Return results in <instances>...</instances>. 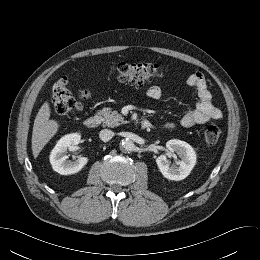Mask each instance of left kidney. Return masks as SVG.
<instances>
[{
    "instance_id": "obj_1",
    "label": "left kidney",
    "mask_w": 260,
    "mask_h": 260,
    "mask_svg": "<svg viewBox=\"0 0 260 260\" xmlns=\"http://www.w3.org/2000/svg\"><path fill=\"white\" fill-rule=\"evenodd\" d=\"M166 148L168 153L156 159L160 172L169 180L180 181L185 179L195 166V151L188 143L177 139L169 140L166 143ZM173 153H177L181 160L177 161L175 165H170L167 158L171 157Z\"/></svg>"
}]
</instances>
